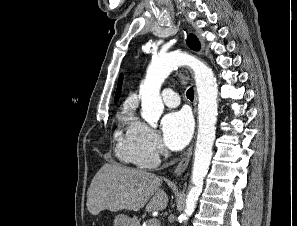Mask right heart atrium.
Returning <instances> with one entry per match:
<instances>
[{
	"instance_id": "right-heart-atrium-1",
	"label": "right heart atrium",
	"mask_w": 297,
	"mask_h": 226,
	"mask_svg": "<svg viewBox=\"0 0 297 226\" xmlns=\"http://www.w3.org/2000/svg\"><path fill=\"white\" fill-rule=\"evenodd\" d=\"M126 151L130 161L141 168H155L166 156L158 134L146 123L133 118L126 133Z\"/></svg>"
}]
</instances>
